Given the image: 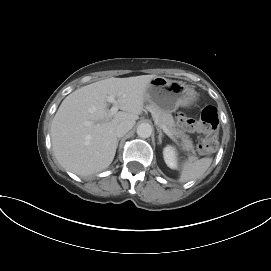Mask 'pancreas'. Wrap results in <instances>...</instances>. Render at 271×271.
<instances>
[{"label":"pancreas","instance_id":"1","mask_svg":"<svg viewBox=\"0 0 271 271\" xmlns=\"http://www.w3.org/2000/svg\"><path fill=\"white\" fill-rule=\"evenodd\" d=\"M147 109L151 112L157 126L159 128L165 126L175 138L181 139L180 145L182 146L183 150L188 152L190 159L196 160L197 154L194 149L193 141L190 139L189 135L176 128L173 116L169 112H165L152 104L148 105Z\"/></svg>","mask_w":271,"mask_h":271}]
</instances>
